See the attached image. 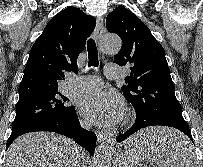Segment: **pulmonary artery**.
<instances>
[{
    "label": "pulmonary artery",
    "mask_w": 203,
    "mask_h": 167,
    "mask_svg": "<svg viewBox=\"0 0 203 167\" xmlns=\"http://www.w3.org/2000/svg\"><path fill=\"white\" fill-rule=\"evenodd\" d=\"M121 69L116 64H107L105 66V75L108 78H117L120 75ZM102 86L100 78L94 75L75 76L69 81V88L78 91L96 90Z\"/></svg>",
    "instance_id": "obj_1"
}]
</instances>
